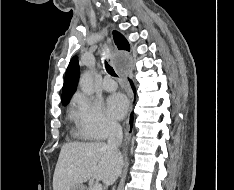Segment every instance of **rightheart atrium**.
Instances as JSON below:
<instances>
[{"label":"right heart atrium","mask_w":234,"mask_h":190,"mask_svg":"<svg viewBox=\"0 0 234 190\" xmlns=\"http://www.w3.org/2000/svg\"><path fill=\"white\" fill-rule=\"evenodd\" d=\"M71 117L78 133L87 139H104L119 128L118 123L104 111L101 102L81 93L73 97Z\"/></svg>","instance_id":"right-heart-atrium-1"}]
</instances>
